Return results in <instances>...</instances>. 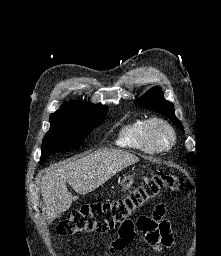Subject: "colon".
<instances>
[{"instance_id":"obj_1","label":"colon","mask_w":221,"mask_h":256,"mask_svg":"<svg viewBox=\"0 0 221 256\" xmlns=\"http://www.w3.org/2000/svg\"><path fill=\"white\" fill-rule=\"evenodd\" d=\"M179 175L159 170L143 177L138 185L121 197L83 205L73 210L57 226L60 235L125 230L131 227L133 214L163 192L179 191L184 187Z\"/></svg>"}]
</instances>
